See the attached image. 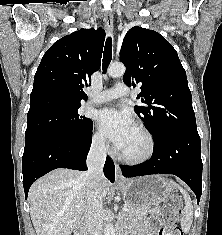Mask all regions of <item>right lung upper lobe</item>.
Returning <instances> with one entry per match:
<instances>
[{
	"instance_id": "obj_1",
	"label": "right lung upper lobe",
	"mask_w": 222,
	"mask_h": 235,
	"mask_svg": "<svg viewBox=\"0 0 222 235\" xmlns=\"http://www.w3.org/2000/svg\"><path fill=\"white\" fill-rule=\"evenodd\" d=\"M105 31L81 28L56 41L34 76L27 116L67 105H81L83 87L101 65Z\"/></svg>"
}]
</instances>
